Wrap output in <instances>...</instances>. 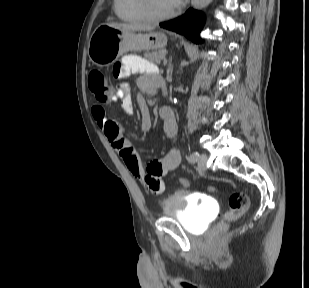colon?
Here are the masks:
<instances>
[{
  "label": "colon",
  "instance_id": "colon-1",
  "mask_svg": "<svg viewBox=\"0 0 309 288\" xmlns=\"http://www.w3.org/2000/svg\"><path fill=\"white\" fill-rule=\"evenodd\" d=\"M88 86L98 101L106 102L112 96L107 79L99 70L89 72ZM178 183L183 187L189 186V181L186 178H179ZM228 205L229 208L225 215V222L220 224L215 230V235L217 236L226 230L227 223L239 219L247 212L249 208V197L243 192H234L229 196Z\"/></svg>",
  "mask_w": 309,
  "mask_h": 288
}]
</instances>
